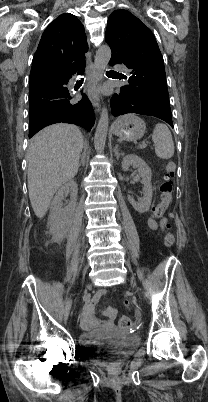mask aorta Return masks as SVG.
<instances>
[{"instance_id": "aorta-1", "label": "aorta", "mask_w": 208, "mask_h": 402, "mask_svg": "<svg viewBox=\"0 0 208 402\" xmlns=\"http://www.w3.org/2000/svg\"><path fill=\"white\" fill-rule=\"evenodd\" d=\"M111 54L112 52L109 46H100V48H98L93 66V78L96 84H98V82H101V80H103V76L108 66V62H110ZM108 126H109L108 112L106 108H103L94 138V148L96 152H99V154L100 152H103L105 148Z\"/></svg>"}]
</instances>
